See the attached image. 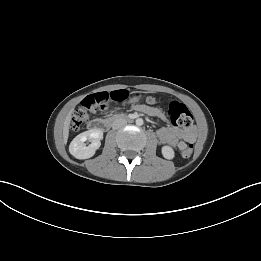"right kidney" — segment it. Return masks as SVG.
<instances>
[{
    "instance_id": "ca27d5eb",
    "label": "right kidney",
    "mask_w": 261,
    "mask_h": 261,
    "mask_svg": "<svg viewBox=\"0 0 261 261\" xmlns=\"http://www.w3.org/2000/svg\"><path fill=\"white\" fill-rule=\"evenodd\" d=\"M103 132L100 129H90L77 135L69 146L70 153L77 159H88L92 157L101 145ZM89 140L91 144L86 146Z\"/></svg>"
}]
</instances>
